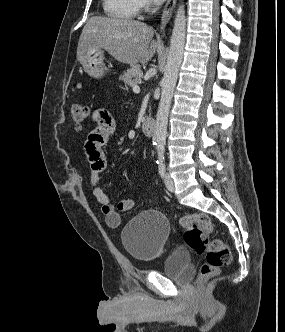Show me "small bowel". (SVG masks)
<instances>
[{"label": "small bowel", "instance_id": "1", "mask_svg": "<svg viewBox=\"0 0 285 332\" xmlns=\"http://www.w3.org/2000/svg\"><path fill=\"white\" fill-rule=\"evenodd\" d=\"M90 117L93 118L96 125L89 132L84 147L91 169L90 181L93 186V195L101 205L107 225L116 228L121 223L120 213L131 210L136 202L132 199L121 200L116 206L110 202L103 189L101 175L106 168L103 148L115 130V120L108 111L104 110L103 106H96L95 111L90 112ZM90 117L87 119L90 120Z\"/></svg>", "mask_w": 285, "mask_h": 332}]
</instances>
